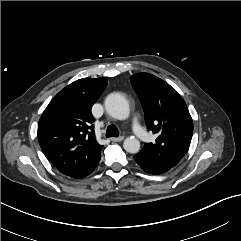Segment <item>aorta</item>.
<instances>
[{"label":"aorta","mask_w":241,"mask_h":241,"mask_svg":"<svg viewBox=\"0 0 241 241\" xmlns=\"http://www.w3.org/2000/svg\"><path fill=\"white\" fill-rule=\"evenodd\" d=\"M105 109L111 117L118 120H124L130 114L128 101L119 93H111L106 97ZM123 147L125 151L135 154L140 150V142L135 137H127Z\"/></svg>","instance_id":"aorta-1"}]
</instances>
